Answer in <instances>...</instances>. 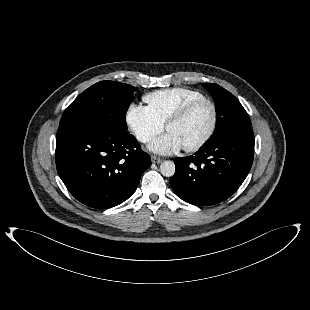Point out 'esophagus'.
Returning <instances> with one entry per match:
<instances>
[{
    "label": "esophagus",
    "mask_w": 310,
    "mask_h": 310,
    "mask_svg": "<svg viewBox=\"0 0 310 310\" xmlns=\"http://www.w3.org/2000/svg\"><path fill=\"white\" fill-rule=\"evenodd\" d=\"M151 160H152L153 163H157V164L162 162L161 158H159L157 156H153V155L151 156Z\"/></svg>",
    "instance_id": "34e87169"
}]
</instances>
